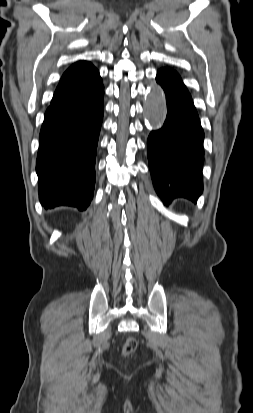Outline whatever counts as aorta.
I'll return each instance as SVG.
<instances>
[{
  "mask_svg": "<svg viewBox=\"0 0 253 413\" xmlns=\"http://www.w3.org/2000/svg\"><path fill=\"white\" fill-rule=\"evenodd\" d=\"M167 115L166 98L160 86L152 85L144 101V116L151 129L162 127Z\"/></svg>",
  "mask_w": 253,
  "mask_h": 413,
  "instance_id": "aorta-1",
  "label": "aorta"
}]
</instances>
